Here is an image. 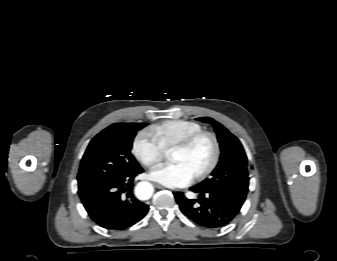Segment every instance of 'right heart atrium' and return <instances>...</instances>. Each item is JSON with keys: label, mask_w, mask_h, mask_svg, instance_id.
Segmentation results:
<instances>
[{"label": "right heart atrium", "mask_w": 337, "mask_h": 261, "mask_svg": "<svg viewBox=\"0 0 337 261\" xmlns=\"http://www.w3.org/2000/svg\"><path fill=\"white\" fill-rule=\"evenodd\" d=\"M133 152L137 159L147 167L159 163L166 154L156 137L147 130L139 132L135 137Z\"/></svg>", "instance_id": "d8ad5b80"}]
</instances>
